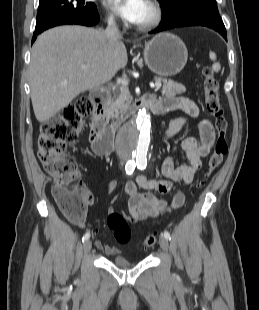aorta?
<instances>
[{
  "instance_id": "obj_1",
  "label": "aorta",
  "mask_w": 259,
  "mask_h": 310,
  "mask_svg": "<svg viewBox=\"0 0 259 310\" xmlns=\"http://www.w3.org/2000/svg\"><path fill=\"white\" fill-rule=\"evenodd\" d=\"M151 122L145 109H140L120 132L118 146L128 158L144 157L150 146Z\"/></svg>"
}]
</instances>
